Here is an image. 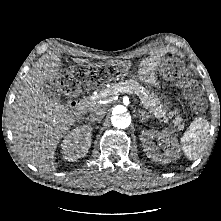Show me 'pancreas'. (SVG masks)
<instances>
[{"mask_svg": "<svg viewBox=\"0 0 221 221\" xmlns=\"http://www.w3.org/2000/svg\"><path fill=\"white\" fill-rule=\"evenodd\" d=\"M121 92L137 95L141 105L159 120L165 123L172 120L173 125L177 126L178 130L184 128V121L177 111L168 110L154 91L146 89L133 79L112 84L94 96L93 100L106 99Z\"/></svg>", "mask_w": 221, "mask_h": 221, "instance_id": "pancreas-1", "label": "pancreas"}]
</instances>
